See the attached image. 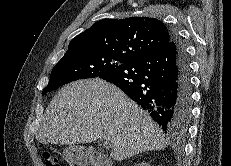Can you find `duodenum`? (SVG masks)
Wrapping results in <instances>:
<instances>
[{"label":"duodenum","instance_id":"duodenum-1","mask_svg":"<svg viewBox=\"0 0 231 166\" xmlns=\"http://www.w3.org/2000/svg\"><path fill=\"white\" fill-rule=\"evenodd\" d=\"M79 159L91 166H111L106 157L94 150H85L79 153Z\"/></svg>","mask_w":231,"mask_h":166}]
</instances>
